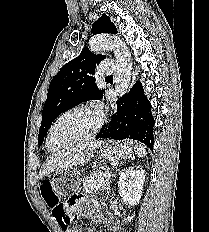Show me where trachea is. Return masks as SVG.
Returning <instances> with one entry per match:
<instances>
[{
	"instance_id": "trachea-1",
	"label": "trachea",
	"mask_w": 209,
	"mask_h": 232,
	"mask_svg": "<svg viewBox=\"0 0 209 232\" xmlns=\"http://www.w3.org/2000/svg\"><path fill=\"white\" fill-rule=\"evenodd\" d=\"M111 78H113L112 76H108V77H106V79H111Z\"/></svg>"
}]
</instances>
